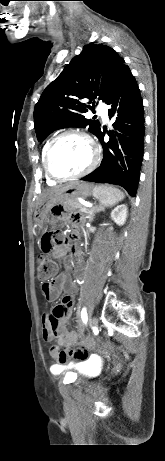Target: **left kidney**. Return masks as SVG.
Masks as SVG:
<instances>
[{
  "label": "left kidney",
  "instance_id": "left-kidney-1",
  "mask_svg": "<svg viewBox=\"0 0 165 461\" xmlns=\"http://www.w3.org/2000/svg\"><path fill=\"white\" fill-rule=\"evenodd\" d=\"M128 209L125 204L119 205L111 212V219L119 226L124 225L127 218Z\"/></svg>",
  "mask_w": 165,
  "mask_h": 461
}]
</instances>
